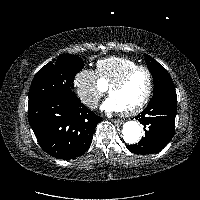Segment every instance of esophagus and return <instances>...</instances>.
Masks as SVG:
<instances>
[{
	"label": "esophagus",
	"instance_id": "esophagus-1",
	"mask_svg": "<svg viewBox=\"0 0 200 200\" xmlns=\"http://www.w3.org/2000/svg\"><path fill=\"white\" fill-rule=\"evenodd\" d=\"M116 125H121L123 123L122 120H118V119H115V120H112Z\"/></svg>",
	"mask_w": 200,
	"mask_h": 200
}]
</instances>
